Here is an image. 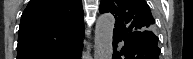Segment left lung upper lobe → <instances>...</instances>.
Returning <instances> with one entry per match:
<instances>
[{"mask_svg": "<svg viewBox=\"0 0 193 59\" xmlns=\"http://www.w3.org/2000/svg\"><path fill=\"white\" fill-rule=\"evenodd\" d=\"M105 12L114 14L116 34L141 36L153 33L155 20L145 0H101L100 13Z\"/></svg>", "mask_w": 193, "mask_h": 59, "instance_id": "5c2ea615", "label": "left lung upper lobe"}]
</instances>
